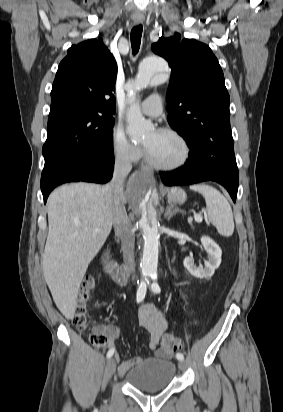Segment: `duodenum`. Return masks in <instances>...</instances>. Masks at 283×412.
Wrapping results in <instances>:
<instances>
[{
  "instance_id": "duodenum-1",
  "label": "duodenum",
  "mask_w": 283,
  "mask_h": 412,
  "mask_svg": "<svg viewBox=\"0 0 283 412\" xmlns=\"http://www.w3.org/2000/svg\"><path fill=\"white\" fill-rule=\"evenodd\" d=\"M102 265L109 277L118 285H124L129 279V273L125 268L120 267L110 256L105 252L102 256Z\"/></svg>"
}]
</instances>
